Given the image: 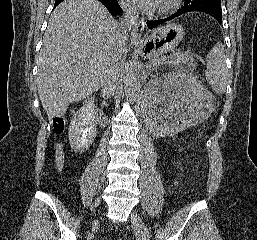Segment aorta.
<instances>
[{
  "mask_svg": "<svg viewBox=\"0 0 257 240\" xmlns=\"http://www.w3.org/2000/svg\"><path fill=\"white\" fill-rule=\"evenodd\" d=\"M123 84L126 99L130 102L135 101L138 94L137 69L132 60H129L124 66Z\"/></svg>",
  "mask_w": 257,
  "mask_h": 240,
  "instance_id": "aorta-1",
  "label": "aorta"
}]
</instances>
